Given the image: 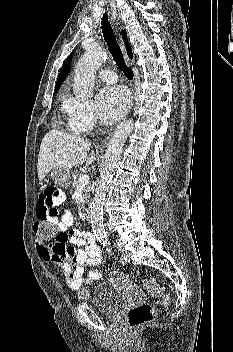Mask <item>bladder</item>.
Returning <instances> with one entry per match:
<instances>
[{"label": "bladder", "mask_w": 233, "mask_h": 352, "mask_svg": "<svg viewBox=\"0 0 233 352\" xmlns=\"http://www.w3.org/2000/svg\"><path fill=\"white\" fill-rule=\"evenodd\" d=\"M125 294L108 281L97 284L89 301L90 305L99 312L115 316L125 303Z\"/></svg>", "instance_id": "31cf9c89"}]
</instances>
